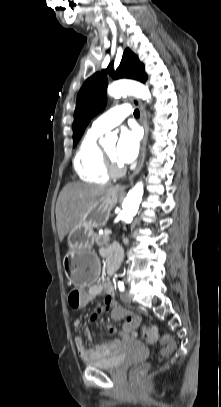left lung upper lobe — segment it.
Wrapping results in <instances>:
<instances>
[{
	"instance_id": "1",
	"label": "left lung upper lobe",
	"mask_w": 221,
	"mask_h": 407,
	"mask_svg": "<svg viewBox=\"0 0 221 407\" xmlns=\"http://www.w3.org/2000/svg\"><path fill=\"white\" fill-rule=\"evenodd\" d=\"M107 73L113 79L131 78L145 82L148 78L144 65L130 49L124 51L121 63L116 71L113 70V64L111 63L107 69L88 78L77 96L73 122L74 147L83 135L90 120L102 111L106 105Z\"/></svg>"
}]
</instances>
